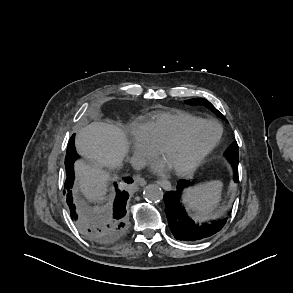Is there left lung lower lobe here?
<instances>
[{
	"label": "left lung lower lobe",
	"instance_id": "left-lung-lower-lobe-1",
	"mask_svg": "<svg viewBox=\"0 0 293 293\" xmlns=\"http://www.w3.org/2000/svg\"><path fill=\"white\" fill-rule=\"evenodd\" d=\"M234 182H238V163L233 164ZM189 185V181L180 180L175 191L167 192L164 195L166 205L165 213L168 219V225L174 237L178 240L197 241L220 231L225 225L227 218L221 221H214L211 224H196L190 219L185 208L182 206L180 197L184 188Z\"/></svg>",
	"mask_w": 293,
	"mask_h": 293
}]
</instances>
